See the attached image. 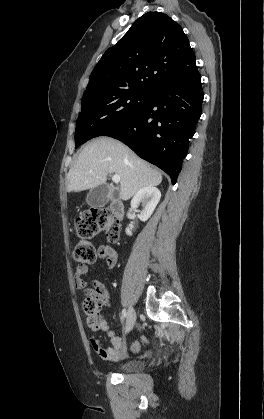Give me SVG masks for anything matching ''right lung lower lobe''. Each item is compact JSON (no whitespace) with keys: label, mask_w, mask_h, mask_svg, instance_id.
<instances>
[{"label":"right lung lower lobe","mask_w":264,"mask_h":419,"mask_svg":"<svg viewBox=\"0 0 264 419\" xmlns=\"http://www.w3.org/2000/svg\"><path fill=\"white\" fill-rule=\"evenodd\" d=\"M201 76L162 84L133 115L101 136L118 139L177 181L201 116Z\"/></svg>","instance_id":"1"}]
</instances>
